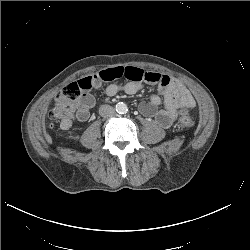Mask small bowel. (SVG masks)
<instances>
[{"label": "small bowel", "mask_w": 250, "mask_h": 250, "mask_svg": "<svg viewBox=\"0 0 250 250\" xmlns=\"http://www.w3.org/2000/svg\"><path fill=\"white\" fill-rule=\"evenodd\" d=\"M82 90L76 102V120L83 123L88 120L90 110L95 106V98L91 90L99 89L107 84L106 93L115 96L120 92L135 94L145 84L156 85L158 94L139 106L140 112L153 118L156 123L168 128L175 121L179 109H193L195 100L189 90L174 78L153 71H145L138 67H114L102 70L92 75L81 78L76 82ZM71 120H63L60 127L69 130Z\"/></svg>", "instance_id": "1"}]
</instances>
